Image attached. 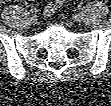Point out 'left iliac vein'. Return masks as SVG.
<instances>
[{"mask_svg":"<svg viewBox=\"0 0 111 106\" xmlns=\"http://www.w3.org/2000/svg\"><path fill=\"white\" fill-rule=\"evenodd\" d=\"M74 20L80 22L82 20V14L78 13L74 15Z\"/></svg>","mask_w":111,"mask_h":106,"instance_id":"1","label":"left iliac vein"}]
</instances>
